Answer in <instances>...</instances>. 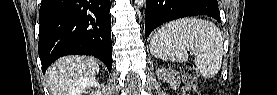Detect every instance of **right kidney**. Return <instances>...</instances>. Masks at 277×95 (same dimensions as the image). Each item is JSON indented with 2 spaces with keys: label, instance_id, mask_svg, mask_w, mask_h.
<instances>
[{
  "label": "right kidney",
  "instance_id": "1",
  "mask_svg": "<svg viewBox=\"0 0 277 95\" xmlns=\"http://www.w3.org/2000/svg\"><path fill=\"white\" fill-rule=\"evenodd\" d=\"M99 83L96 81L95 77H87L83 78L79 82H77L74 88L70 91L69 95H83L85 93L86 88H97ZM92 94H94L92 92ZM95 95H102L101 91L95 92Z\"/></svg>",
  "mask_w": 277,
  "mask_h": 95
}]
</instances>
